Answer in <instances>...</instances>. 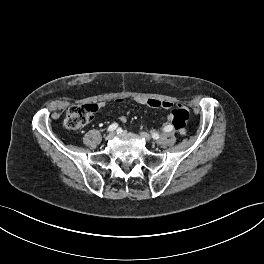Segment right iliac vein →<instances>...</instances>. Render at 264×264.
<instances>
[{
  "instance_id": "obj_1",
  "label": "right iliac vein",
  "mask_w": 264,
  "mask_h": 264,
  "mask_svg": "<svg viewBox=\"0 0 264 264\" xmlns=\"http://www.w3.org/2000/svg\"><path fill=\"white\" fill-rule=\"evenodd\" d=\"M114 135H115L114 132H110V133L107 135L106 139L109 140V139L113 138Z\"/></svg>"
}]
</instances>
